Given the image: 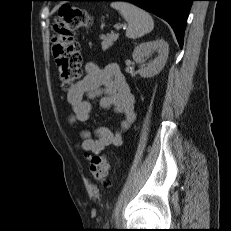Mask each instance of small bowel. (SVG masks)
<instances>
[{
  "label": "small bowel",
  "mask_w": 231,
  "mask_h": 231,
  "mask_svg": "<svg viewBox=\"0 0 231 231\" xmlns=\"http://www.w3.org/2000/svg\"><path fill=\"white\" fill-rule=\"evenodd\" d=\"M85 71V76L67 91V102L73 111L68 119L69 124L75 127L78 123L87 122L92 112L90 100L95 98H98L101 108H113L121 115L117 131L110 127H99L95 130V137L89 130L79 131L81 142L77 144V149L99 154L108 146L122 144L125 131L136 119L135 99L117 64L110 63L101 68L93 62H88Z\"/></svg>",
  "instance_id": "c3829d8e"
}]
</instances>
